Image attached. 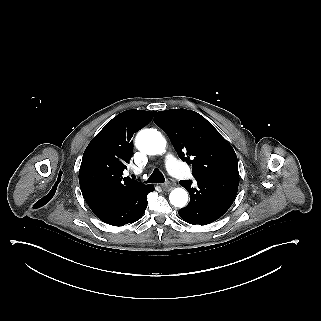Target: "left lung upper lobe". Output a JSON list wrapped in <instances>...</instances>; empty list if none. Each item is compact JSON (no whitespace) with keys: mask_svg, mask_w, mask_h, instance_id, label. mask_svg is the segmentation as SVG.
<instances>
[{"mask_svg":"<svg viewBox=\"0 0 321 321\" xmlns=\"http://www.w3.org/2000/svg\"><path fill=\"white\" fill-rule=\"evenodd\" d=\"M154 122L169 136L182 161L192 164L196 179L239 175L234 149L200 114L186 109L159 111Z\"/></svg>","mask_w":321,"mask_h":321,"instance_id":"obj_1","label":"left lung upper lobe"}]
</instances>
